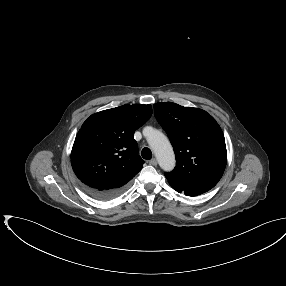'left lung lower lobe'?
Instances as JSON below:
<instances>
[{
	"label": "left lung lower lobe",
	"instance_id": "0a47b994",
	"mask_svg": "<svg viewBox=\"0 0 286 286\" xmlns=\"http://www.w3.org/2000/svg\"><path fill=\"white\" fill-rule=\"evenodd\" d=\"M169 184L171 185V187H172L174 190H176V191L179 192V193L183 192V193H185V195H187V196H197V195H200V194L204 193V192L198 191V190L185 189V188L180 187V186H178V185H176V184H174V183H171V182H169Z\"/></svg>",
	"mask_w": 286,
	"mask_h": 286
}]
</instances>
